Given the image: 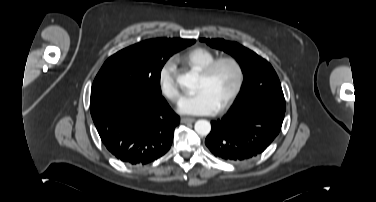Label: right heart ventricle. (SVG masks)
<instances>
[{
	"label": "right heart ventricle",
	"mask_w": 376,
	"mask_h": 202,
	"mask_svg": "<svg viewBox=\"0 0 376 202\" xmlns=\"http://www.w3.org/2000/svg\"><path fill=\"white\" fill-rule=\"evenodd\" d=\"M216 58V54L204 47L188 50L174 57L173 61L184 68L202 70Z\"/></svg>",
	"instance_id": "e07e8e85"
}]
</instances>
